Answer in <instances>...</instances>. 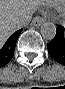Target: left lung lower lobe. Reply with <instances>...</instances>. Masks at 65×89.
<instances>
[{"label": "left lung lower lobe", "mask_w": 65, "mask_h": 89, "mask_svg": "<svg viewBox=\"0 0 65 89\" xmlns=\"http://www.w3.org/2000/svg\"><path fill=\"white\" fill-rule=\"evenodd\" d=\"M49 55L65 65V27L58 26L54 39L47 44Z\"/></svg>", "instance_id": "left-lung-lower-lobe-1"}]
</instances>
